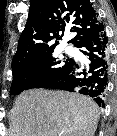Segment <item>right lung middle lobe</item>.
Instances as JSON below:
<instances>
[{"instance_id":"1","label":"right lung middle lobe","mask_w":117,"mask_h":136,"mask_svg":"<svg viewBox=\"0 0 117 136\" xmlns=\"http://www.w3.org/2000/svg\"><path fill=\"white\" fill-rule=\"evenodd\" d=\"M69 61L70 59L59 61L50 55L13 69L10 95H19L24 90L39 87L43 82L60 72Z\"/></svg>"}]
</instances>
